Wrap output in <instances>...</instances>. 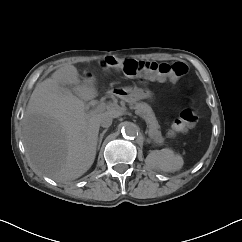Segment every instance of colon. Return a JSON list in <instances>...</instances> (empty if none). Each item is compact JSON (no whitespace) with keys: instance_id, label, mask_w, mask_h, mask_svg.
Masks as SVG:
<instances>
[{"instance_id":"5ec220e1","label":"colon","mask_w":242,"mask_h":242,"mask_svg":"<svg viewBox=\"0 0 242 242\" xmlns=\"http://www.w3.org/2000/svg\"><path fill=\"white\" fill-rule=\"evenodd\" d=\"M105 68H114L123 71L128 76L143 82L146 80L173 82L184 78L188 73V67L182 62L159 63L154 61H139L134 59H122L116 56H107L100 61ZM198 116L192 109L181 112L171 126V132H184L196 124Z\"/></svg>"}]
</instances>
